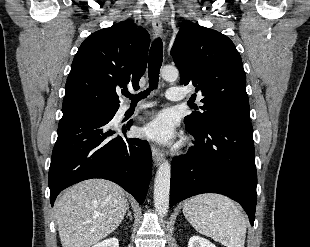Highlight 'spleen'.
<instances>
[{
	"label": "spleen",
	"mask_w": 310,
	"mask_h": 247,
	"mask_svg": "<svg viewBox=\"0 0 310 247\" xmlns=\"http://www.w3.org/2000/svg\"><path fill=\"white\" fill-rule=\"evenodd\" d=\"M183 214L193 228L227 247H244L246 221L230 198L201 194L187 200Z\"/></svg>",
	"instance_id": "obj_1"
}]
</instances>
